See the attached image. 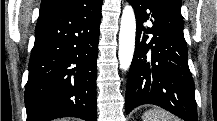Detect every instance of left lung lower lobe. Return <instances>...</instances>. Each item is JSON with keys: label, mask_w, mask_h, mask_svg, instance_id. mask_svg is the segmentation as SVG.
Wrapping results in <instances>:
<instances>
[{"label": "left lung lower lobe", "mask_w": 217, "mask_h": 121, "mask_svg": "<svg viewBox=\"0 0 217 121\" xmlns=\"http://www.w3.org/2000/svg\"><path fill=\"white\" fill-rule=\"evenodd\" d=\"M128 2L136 15V45L127 82L126 114L142 104H154L185 121H197L181 9L170 0ZM147 20L152 27L144 25ZM142 32L153 37L141 38Z\"/></svg>", "instance_id": "0a47b994"}]
</instances>
